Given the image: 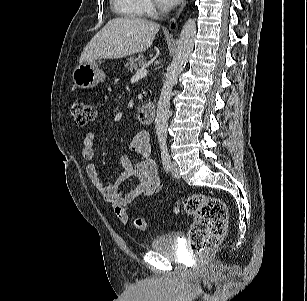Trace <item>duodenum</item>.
Here are the masks:
<instances>
[{
	"label": "duodenum",
	"mask_w": 307,
	"mask_h": 301,
	"mask_svg": "<svg viewBox=\"0 0 307 301\" xmlns=\"http://www.w3.org/2000/svg\"><path fill=\"white\" fill-rule=\"evenodd\" d=\"M138 120L142 124H152L156 117V106L154 103H148L138 110Z\"/></svg>",
	"instance_id": "410a0bca"
}]
</instances>
